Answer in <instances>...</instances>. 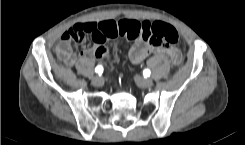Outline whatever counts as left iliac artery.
Here are the masks:
<instances>
[{
    "instance_id": "obj_1",
    "label": "left iliac artery",
    "mask_w": 245,
    "mask_h": 145,
    "mask_svg": "<svg viewBox=\"0 0 245 145\" xmlns=\"http://www.w3.org/2000/svg\"><path fill=\"white\" fill-rule=\"evenodd\" d=\"M143 74H144L145 76H150L151 72H150L149 69H145V70L143 71Z\"/></svg>"
}]
</instances>
